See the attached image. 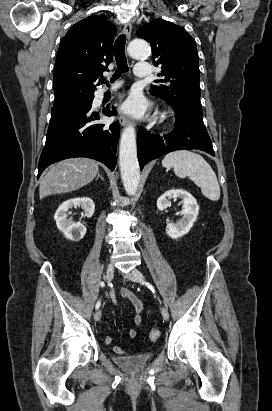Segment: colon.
I'll use <instances>...</instances> for the list:
<instances>
[{
  "label": "colon",
  "mask_w": 272,
  "mask_h": 411,
  "mask_svg": "<svg viewBox=\"0 0 272 411\" xmlns=\"http://www.w3.org/2000/svg\"><path fill=\"white\" fill-rule=\"evenodd\" d=\"M148 337L151 341L158 340V338L160 337V330L157 329V328L151 329L150 332H149Z\"/></svg>",
  "instance_id": "1"
}]
</instances>
